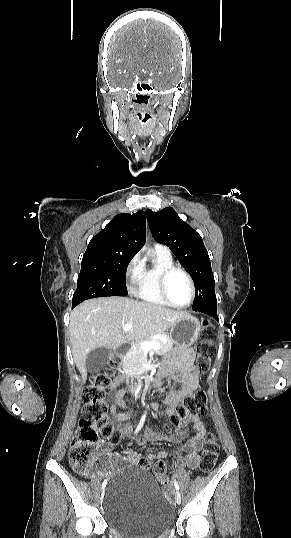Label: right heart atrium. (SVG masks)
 <instances>
[{"instance_id": "right-heart-atrium-1", "label": "right heart atrium", "mask_w": 291, "mask_h": 538, "mask_svg": "<svg viewBox=\"0 0 291 538\" xmlns=\"http://www.w3.org/2000/svg\"><path fill=\"white\" fill-rule=\"evenodd\" d=\"M142 267L143 261L139 253L135 254L126 265L125 275L127 278L128 289L131 292H134L136 290L140 279Z\"/></svg>"}]
</instances>
